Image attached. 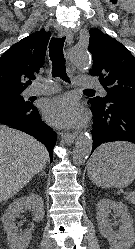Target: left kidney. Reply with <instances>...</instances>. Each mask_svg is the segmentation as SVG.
Wrapping results in <instances>:
<instances>
[{"label":"left kidney","instance_id":"left-kidney-1","mask_svg":"<svg viewBox=\"0 0 135 249\" xmlns=\"http://www.w3.org/2000/svg\"><path fill=\"white\" fill-rule=\"evenodd\" d=\"M111 211L121 218L118 232L113 230L109 222L108 215ZM96 214L100 233L108 240L111 249H130L135 242V230L127 207L121 202L102 199L97 203Z\"/></svg>","mask_w":135,"mask_h":249}]
</instances>
